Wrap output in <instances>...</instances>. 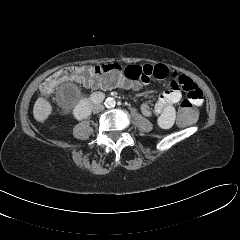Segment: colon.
Returning <instances> with one entry per match:
<instances>
[{"label":"colon","instance_id":"5ec220e1","mask_svg":"<svg viewBox=\"0 0 240 240\" xmlns=\"http://www.w3.org/2000/svg\"><path fill=\"white\" fill-rule=\"evenodd\" d=\"M132 80L126 69L115 63L103 65L68 66L49 76L41 85L43 95L49 96L56 86L64 81H78L88 86L117 87ZM197 118L194 105L189 100H183L179 107L178 122L190 125Z\"/></svg>","mask_w":240,"mask_h":240}]
</instances>
